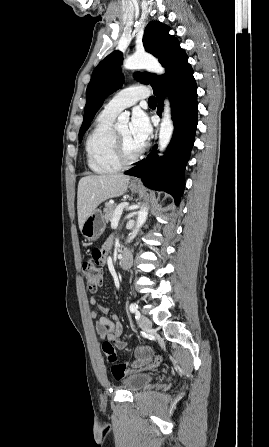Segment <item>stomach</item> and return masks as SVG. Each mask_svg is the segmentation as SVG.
Masks as SVG:
<instances>
[{"label":"stomach","instance_id":"0dacf381","mask_svg":"<svg viewBox=\"0 0 269 447\" xmlns=\"http://www.w3.org/2000/svg\"><path fill=\"white\" fill-rule=\"evenodd\" d=\"M132 192H139L140 186H130ZM106 227L105 218L101 210H93L92 214L88 216L82 225L81 233L88 239V241H94L101 233H103Z\"/></svg>","mask_w":269,"mask_h":447}]
</instances>
